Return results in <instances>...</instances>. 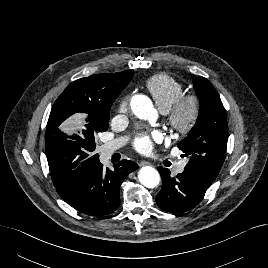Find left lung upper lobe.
I'll return each instance as SVG.
<instances>
[{
    "mask_svg": "<svg viewBox=\"0 0 268 268\" xmlns=\"http://www.w3.org/2000/svg\"><path fill=\"white\" fill-rule=\"evenodd\" d=\"M194 89L200 99L196 124L178 147L190 160L185 166L210 181L219 174L226 155L228 126L226 111L214 86L204 77L194 80Z\"/></svg>",
    "mask_w": 268,
    "mask_h": 268,
    "instance_id": "obj_1",
    "label": "left lung upper lobe"
}]
</instances>
